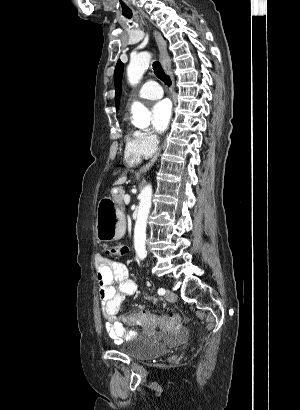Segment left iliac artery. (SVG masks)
<instances>
[{
	"label": "left iliac artery",
	"instance_id": "44dca946",
	"mask_svg": "<svg viewBox=\"0 0 300 410\" xmlns=\"http://www.w3.org/2000/svg\"><path fill=\"white\" fill-rule=\"evenodd\" d=\"M165 292H166V291H165L164 288H159V289H158V294H159V295H164Z\"/></svg>",
	"mask_w": 300,
	"mask_h": 410
}]
</instances>
